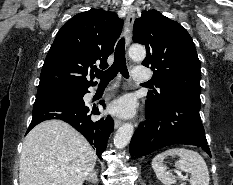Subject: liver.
<instances>
[{
  "instance_id": "liver-1",
  "label": "liver",
  "mask_w": 233,
  "mask_h": 185,
  "mask_svg": "<svg viewBox=\"0 0 233 185\" xmlns=\"http://www.w3.org/2000/svg\"><path fill=\"white\" fill-rule=\"evenodd\" d=\"M97 156L89 142L61 120H47L25 137L19 185H82Z\"/></svg>"
}]
</instances>
